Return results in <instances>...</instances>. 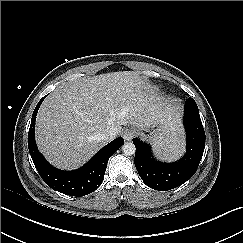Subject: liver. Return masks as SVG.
Segmentation results:
<instances>
[{"label": "liver", "instance_id": "1", "mask_svg": "<svg viewBox=\"0 0 243 243\" xmlns=\"http://www.w3.org/2000/svg\"><path fill=\"white\" fill-rule=\"evenodd\" d=\"M136 71H119L56 88L42 103L36 119V142L54 166L75 169L108 141L102 135L122 125L146 129L164 125L167 140L181 133L180 114L162 111Z\"/></svg>", "mask_w": 243, "mask_h": 243}]
</instances>
